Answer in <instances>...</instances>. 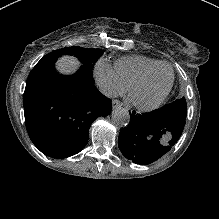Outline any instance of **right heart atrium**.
<instances>
[{
	"label": "right heart atrium",
	"instance_id": "right-heart-atrium-1",
	"mask_svg": "<svg viewBox=\"0 0 219 219\" xmlns=\"http://www.w3.org/2000/svg\"><path fill=\"white\" fill-rule=\"evenodd\" d=\"M94 77L101 90L108 96L120 95L125 91L124 84L115 76L112 67L106 61L97 62Z\"/></svg>",
	"mask_w": 219,
	"mask_h": 219
}]
</instances>
